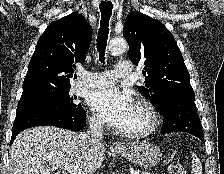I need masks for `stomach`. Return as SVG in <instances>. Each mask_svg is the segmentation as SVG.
Returning <instances> with one entry per match:
<instances>
[{
  "instance_id": "1",
  "label": "stomach",
  "mask_w": 224,
  "mask_h": 174,
  "mask_svg": "<svg viewBox=\"0 0 224 174\" xmlns=\"http://www.w3.org/2000/svg\"><path fill=\"white\" fill-rule=\"evenodd\" d=\"M117 153L140 167H153L162 158L160 149L151 143L130 145L126 151H117Z\"/></svg>"
}]
</instances>
